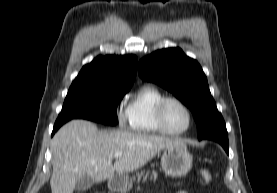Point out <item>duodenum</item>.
<instances>
[{
	"label": "duodenum",
	"instance_id": "410a0bca",
	"mask_svg": "<svg viewBox=\"0 0 277 193\" xmlns=\"http://www.w3.org/2000/svg\"><path fill=\"white\" fill-rule=\"evenodd\" d=\"M120 187H121L120 181H118V180H116V179H112V180L110 181V188H111L113 191L119 190Z\"/></svg>",
	"mask_w": 277,
	"mask_h": 193
}]
</instances>
